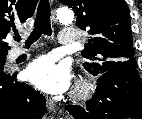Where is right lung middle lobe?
<instances>
[{"instance_id":"1","label":"right lung middle lobe","mask_w":142,"mask_h":119,"mask_svg":"<svg viewBox=\"0 0 142 119\" xmlns=\"http://www.w3.org/2000/svg\"><path fill=\"white\" fill-rule=\"evenodd\" d=\"M7 54H0V69L4 66Z\"/></svg>"}]
</instances>
